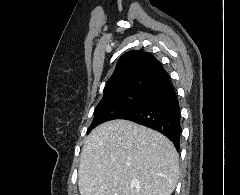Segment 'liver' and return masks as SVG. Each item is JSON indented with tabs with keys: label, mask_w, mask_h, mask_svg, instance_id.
Wrapping results in <instances>:
<instances>
[{
	"label": "liver",
	"mask_w": 240,
	"mask_h": 195,
	"mask_svg": "<svg viewBox=\"0 0 240 195\" xmlns=\"http://www.w3.org/2000/svg\"><path fill=\"white\" fill-rule=\"evenodd\" d=\"M179 155L163 133L128 119L90 131L78 169L80 195H170Z\"/></svg>",
	"instance_id": "obj_1"
}]
</instances>
